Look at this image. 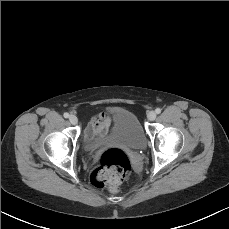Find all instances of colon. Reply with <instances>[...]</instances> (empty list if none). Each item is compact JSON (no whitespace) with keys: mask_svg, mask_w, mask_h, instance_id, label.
<instances>
[{"mask_svg":"<svg viewBox=\"0 0 229 229\" xmlns=\"http://www.w3.org/2000/svg\"><path fill=\"white\" fill-rule=\"evenodd\" d=\"M129 171L130 160L126 153L110 148L101 155L91 174V182L97 188L117 187L127 178Z\"/></svg>","mask_w":229,"mask_h":229,"instance_id":"colon-1","label":"colon"}]
</instances>
